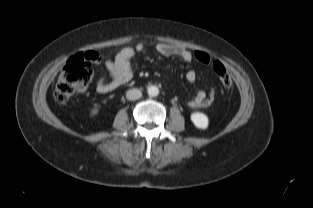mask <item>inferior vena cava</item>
Returning <instances> with one entry per match:
<instances>
[{"label":"inferior vena cava","instance_id":"1","mask_svg":"<svg viewBox=\"0 0 313 208\" xmlns=\"http://www.w3.org/2000/svg\"><path fill=\"white\" fill-rule=\"evenodd\" d=\"M142 96V92L139 89L133 88L127 91L126 93V98L128 100H137L139 98H141Z\"/></svg>","mask_w":313,"mask_h":208}]
</instances>
